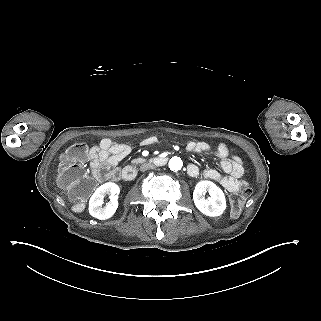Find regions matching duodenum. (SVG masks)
<instances>
[{
  "label": "duodenum",
  "instance_id": "1",
  "mask_svg": "<svg viewBox=\"0 0 321 321\" xmlns=\"http://www.w3.org/2000/svg\"><path fill=\"white\" fill-rule=\"evenodd\" d=\"M150 162L156 166H163L167 162L165 157H155ZM137 169L135 166H127L121 172V178L124 181H131L136 177Z\"/></svg>",
  "mask_w": 321,
  "mask_h": 321
}]
</instances>
